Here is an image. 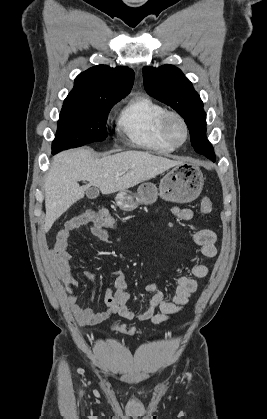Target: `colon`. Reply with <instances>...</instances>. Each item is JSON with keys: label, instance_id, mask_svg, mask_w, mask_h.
Masks as SVG:
<instances>
[{"label": "colon", "instance_id": "5ec220e1", "mask_svg": "<svg viewBox=\"0 0 267 419\" xmlns=\"http://www.w3.org/2000/svg\"><path fill=\"white\" fill-rule=\"evenodd\" d=\"M211 210H212V201L209 198H204L200 205V212L202 214H207ZM91 212H93L97 216L100 224L106 229L111 230L117 227L116 220L107 210L98 209L96 211H91ZM113 329L122 333L130 334V335H134L137 333L136 329L129 328L126 325H122V324H114Z\"/></svg>", "mask_w": 267, "mask_h": 419}]
</instances>
